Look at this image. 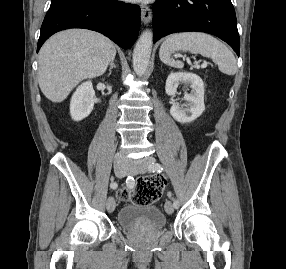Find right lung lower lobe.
Returning <instances> with one entry per match:
<instances>
[{"label": "right lung lower lobe", "mask_w": 286, "mask_h": 269, "mask_svg": "<svg viewBox=\"0 0 286 269\" xmlns=\"http://www.w3.org/2000/svg\"><path fill=\"white\" fill-rule=\"evenodd\" d=\"M85 28L104 34L124 49L137 39L140 8L116 0H58L52 2L41 26L37 52L54 33Z\"/></svg>", "instance_id": "1"}]
</instances>
